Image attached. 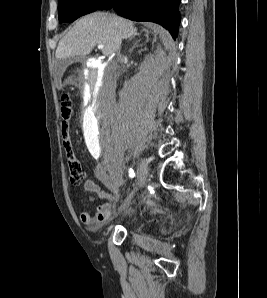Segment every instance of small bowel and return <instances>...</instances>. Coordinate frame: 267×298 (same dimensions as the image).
Returning <instances> with one entry per match:
<instances>
[{"label": "small bowel", "instance_id": "1", "mask_svg": "<svg viewBox=\"0 0 267 298\" xmlns=\"http://www.w3.org/2000/svg\"><path fill=\"white\" fill-rule=\"evenodd\" d=\"M98 174L102 177L100 172ZM84 189L96 193L101 199L105 200L97 208L94 215L86 211L80 214V220L83 224L90 227H99L111 218L113 206L119 199L121 181L117 180L111 183L109 192L102 190L93 180H87L84 184Z\"/></svg>", "mask_w": 267, "mask_h": 298}]
</instances>
